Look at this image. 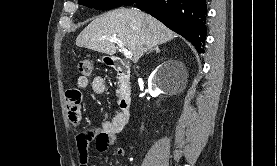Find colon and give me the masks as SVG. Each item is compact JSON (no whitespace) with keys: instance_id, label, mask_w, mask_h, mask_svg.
Instances as JSON below:
<instances>
[{"instance_id":"obj_1","label":"colon","mask_w":277,"mask_h":166,"mask_svg":"<svg viewBox=\"0 0 277 166\" xmlns=\"http://www.w3.org/2000/svg\"><path fill=\"white\" fill-rule=\"evenodd\" d=\"M77 68H78L79 73L83 77H87L92 72V63L89 59H82L78 62Z\"/></svg>"}]
</instances>
